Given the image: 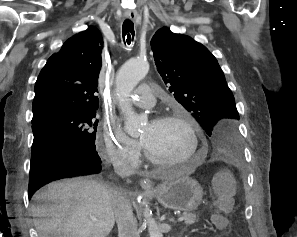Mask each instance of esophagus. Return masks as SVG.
<instances>
[{"instance_id":"34e87169","label":"esophagus","mask_w":297,"mask_h":237,"mask_svg":"<svg viewBox=\"0 0 297 237\" xmlns=\"http://www.w3.org/2000/svg\"><path fill=\"white\" fill-rule=\"evenodd\" d=\"M130 20H134L136 18L135 13H129L125 15ZM140 186L142 189L146 191H152L153 190V182L149 178H143L140 180Z\"/></svg>"}]
</instances>
